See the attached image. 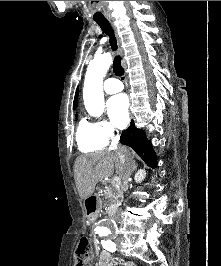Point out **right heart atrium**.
Masks as SVG:
<instances>
[{
  "mask_svg": "<svg viewBox=\"0 0 221 266\" xmlns=\"http://www.w3.org/2000/svg\"><path fill=\"white\" fill-rule=\"evenodd\" d=\"M96 125L101 136L107 141L112 139L117 133L115 127L106 120H100Z\"/></svg>",
  "mask_w": 221,
  "mask_h": 266,
  "instance_id": "1",
  "label": "right heart atrium"
}]
</instances>
